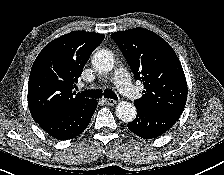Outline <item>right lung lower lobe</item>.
Masks as SVG:
<instances>
[{"instance_id":"right-lung-lower-lobe-1","label":"right lung lower lobe","mask_w":224,"mask_h":175,"mask_svg":"<svg viewBox=\"0 0 224 175\" xmlns=\"http://www.w3.org/2000/svg\"><path fill=\"white\" fill-rule=\"evenodd\" d=\"M97 107V101L73 109L59 111L38 121L39 126L58 140H68L78 136L88 126Z\"/></svg>"}]
</instances>
